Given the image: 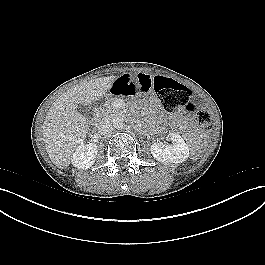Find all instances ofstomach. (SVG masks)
I'll list each match as a JSON object with an SVG mask.
<instances>
[{
	"label": "stomach",
	"mask_w": 265,
	"mask_h": 265,
	"mask_svg": "<svg viewBox=\"0 0 265 265\" xmlns=\"http://www.w3.org/2000/svg\"><path fill=\"white\" fill-rule=\"evenodd\" d=\"M131 87L137 93H144L150 88V80L144 74H137L131 80Z\"/></svg>",
	"instance_id": "0dacf381"
}]
</instances>
